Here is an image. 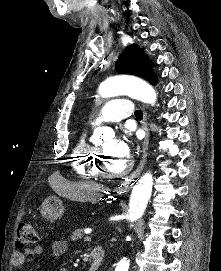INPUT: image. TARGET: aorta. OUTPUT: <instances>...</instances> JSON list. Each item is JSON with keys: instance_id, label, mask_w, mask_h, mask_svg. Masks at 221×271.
I'll return each mask as SVG.
<instances>
[{"instance_id": "aorta-1", "label": "aorta", "mask_w": 221, "mask_h": 271, "mask_svg": "<svg viewBox=\"0 0 221 271\" xmlns=\"http://www.w3.org/2000/svg\"><path fill=\"white\" fill-rule=\"evenodd\" d=\"M99 94L103 98L113 97L121 94H127L144 103L154 104L156 102V93L153 87L144 81L117 76L109 78L102 82L98 88ZM97 131L106 133L110 131L108 128L99 127ZM153 186V177L151 173H145L134 185L130 200L127 219L131 222L138 220L145 212L148 201L151 197ZM130 262L124 257L122 258L115 271H128Z\"/></svg>"}]
</instances>
